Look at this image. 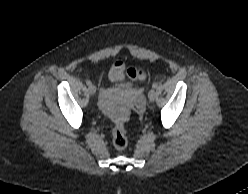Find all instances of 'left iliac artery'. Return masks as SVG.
Segmentation results:
<instances>
[{
    "label": "left iliac artery",
    "instance_id": "1",
    "mask_svg": "<svg viewBox=\"0 0 248 194\" xmlns=\"http://www.w3.org/2000/svg\"><path fill=\"white\" fill-rule=\"evenodd\" d=\"M157 86H158L157 83H153L152 85L153 88H157Z\"/></svg>",
    "mask_w": 248,
    "mask_h": 194
}]
</instances>
